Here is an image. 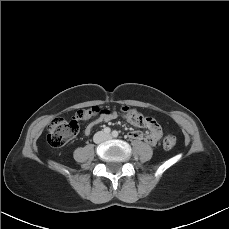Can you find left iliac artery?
Returning a JSON list of instances; mask_svg holds the SVG:
<instances>
[{"mask_svg": "<svg viewBox=\"0 0 229 229\" xmlns=\"http://www.w3.org/2000/svg\"><path fill=\"white\" fill-rule=\"evenodd\" d=\"M118 135H119L118 131L114 130V131L112 132V136H113V137H118Z\"/></svg>", "mask_w": 229, "mask_h": 229, "instance_id": "1", "label": "left iliac artery"}]
</instances>
